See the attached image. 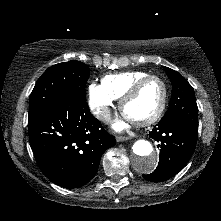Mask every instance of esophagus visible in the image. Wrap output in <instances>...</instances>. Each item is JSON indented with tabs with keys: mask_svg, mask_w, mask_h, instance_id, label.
<instances>
[{
	"mask_svg": "<svg viewBox=\"0 0 221 221\" xmlns=\"http://www.w3.org/2000/svg\"><path fill=\"white\" fill-rule=\"evenodd\" d=\"M128 139H129V137H127V136H117L116 137L117 142L126 141Z\"/></svg>",
	"mask_w": 221,
	"mask_h": 221,
	"instance_id": "obj_1",
	"label": "esophagus"
}]
</instances>
